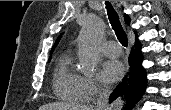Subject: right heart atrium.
Returning <instances> with one entry per match:
<instances>
[{
    "mask_svg": "<svg viewBox=\"0 0 171 110\" xmlns=\"http://www.w3.org/2000/svg\"><path fill=\"white\" fill-rule=\"evenodd\" d=\"M85 94L91 99L104 91V86L94 77H83Z\"/></svg>",
    "mask_w": 171,
    "mask_h": 110,
    "instance_id": "obj_1",
    "label": "right heart atrium"
}]
</instances>
